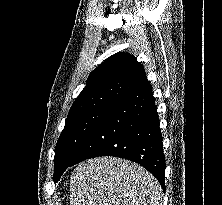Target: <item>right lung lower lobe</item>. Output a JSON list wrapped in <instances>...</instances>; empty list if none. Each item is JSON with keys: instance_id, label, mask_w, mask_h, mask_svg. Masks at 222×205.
Segmentation results:
<instances>
[{"instance_id": "obj_1", "label": "right lung lower lobe", "mask_w": 222, "mask_h": 205, "mask_svg": "<svg viewBox=\"0 0 222 205\" xmlns=\"http://www.w3.org/2000/svg\"><path fill=\"white\" fill-rule=\"evenodd\" d=\"M99 156H115L140 164L165 190L162 134L150 84L134 91L107 112L83 142L69 167Z\"/></svg>"}]
</instances>
